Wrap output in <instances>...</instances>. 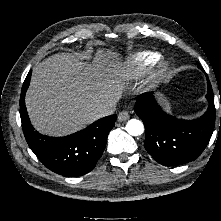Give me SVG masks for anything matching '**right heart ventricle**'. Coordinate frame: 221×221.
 Masks as SVG:
<instances>
[{
	"label": "right heart ventricle",
	"instance_id": "obj_1",
	"mask_svg": "<svg viewBox=\"0 0 221 221\" xmlns=\"http://www.w3.org/2000/svg\"><path fill=\"white\" fill-rule=\"evenodd\" d=\"M160 58V54L154 51H142L131 55L126 62L124 76L128 79L140 77L150 69Z\"/></svg>",
	"mask_w": 221,
	"mask_h": 221
}]
</instances>
